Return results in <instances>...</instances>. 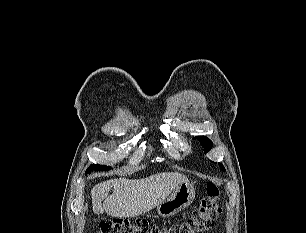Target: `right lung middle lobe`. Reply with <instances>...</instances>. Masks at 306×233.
Here are the masks:
<instances>
[{
  "label": "right lung middle lobe",
  "mask_w": 306,
  "mask_h": 233,
  "mask_svg": "<svg viewBox=\"0 0 306 233\" xmlns=\"http://www.w3.org/2000/svg\"><path fill=\"white\" fill-rule=\"evenodd\" d=\"M110 169V167L104 166V165H98V164H92L88 167V169L85 172V175H87V173L93 171V170H108Z\"/></svg>",
  "instance_id": "obj_1"
}]
</instances>
